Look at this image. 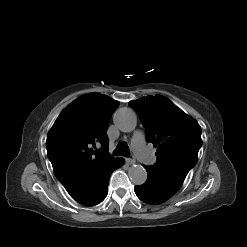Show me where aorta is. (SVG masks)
Returning a JSON list of instances; mask_svg holds the SVG:
<instances>
[{
  "mask_svg": "<svg viewBox=\"0 0 247 247\" xmlns=\"http://www.w3.org/2000/svg\"><path fill=\"white\" fill-rule=\"evenodd\" d=\"M114 123L122 132H131L136 128L137 116L130 108H121L114 115ZM129 178L136 185H141L147 180V172L140 165H134L129 168Z\"/></svg>",
  "mask_w": 247,
  "mask_h": 247,
  "instance_id": "762f6f07",
  "label": "aorta"
}]
</instances>
